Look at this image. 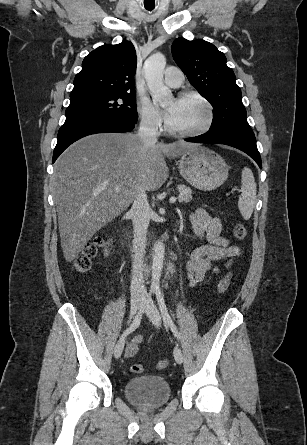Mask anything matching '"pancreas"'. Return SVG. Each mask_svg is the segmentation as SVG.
Returning <instances> with one entry per match:
<instances>
[{
  "mask_svg": "<svg viewBox=\"0 0 307 445\" xmlns=\"http://www.w3.org/2000/svg\"><path fill=\"white\" fill-rule=\"evenodd\" d=\"M177 188L181 194L179 202H189L192 198V188H190V186H185V184H178Z\"/></svg>",
  "mask_w": 307,
  "mask_h": 445,
  "instance_id": "pancreas-1",
  "label": "pancreas"
}]
</instances>
